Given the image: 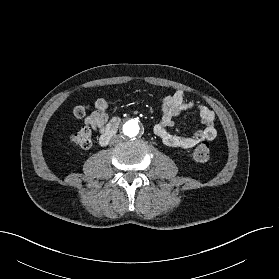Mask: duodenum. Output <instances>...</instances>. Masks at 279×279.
<instances>
[{
    "label": "duodenum",
    "instance_id": "410a0bca",
    "mask_svg": "<svg viewBox=\"0 0 279 279\" xmlns=\"http://www.w3.org/2000/svg\"><path fill=\"white\" fill-rule=\"evenodd\" d=\"M120 125V119L114 118L109 125L107 126L105 132L100 137V144L101 145H107L110 141V139L116 134L118 128Z\"/></svg>",
    "mask_w": 279,
    "mask_h": 279
}]
</instances>
